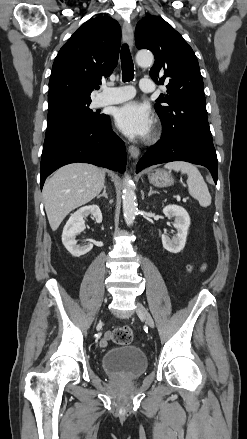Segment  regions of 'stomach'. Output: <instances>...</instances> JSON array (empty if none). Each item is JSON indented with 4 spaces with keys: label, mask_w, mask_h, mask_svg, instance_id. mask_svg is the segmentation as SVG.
Here are the masks:
<instances>
[{
    "label": "stomach",
    "mask_w": 247,
    "mask_h": 439,
    "mask_svg": "<svg viewBox=\"0 0 247 439\" xmlns=\"http://www.w3.org/2000/svg\"><path fill=\"white\" fill-rule=\"evenodd\" d=\"M148 178L150 183L157 187H167L174 183L171 173L162 169L150 171L148 173Z\"/></svg>",
    "instance_id": "1"
}]
</instances>
